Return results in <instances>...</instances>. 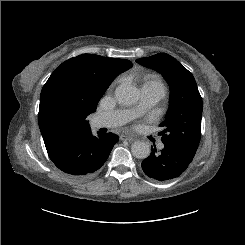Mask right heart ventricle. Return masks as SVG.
<instances>
[{
  "label": "right heart ventricle",
  "mask_w": 245,
  "mask_h": 245,
  "mask_svg": "<svg viewBox=\"0 0 245 245\" xmlns=\"http://www.w3.org/2000/svg\"><path fill=\"white\" fill-rule=\"evenodd\" d=\"M150 91L160 92L163 95L166 94V86L159 75L157 74H148L144 77L142 88Z\"/></svg>",
  "instance_id": "right-heart-ventricle-1"
}]
</instances>
